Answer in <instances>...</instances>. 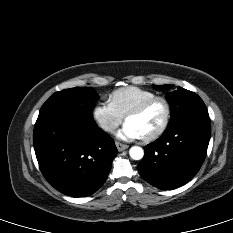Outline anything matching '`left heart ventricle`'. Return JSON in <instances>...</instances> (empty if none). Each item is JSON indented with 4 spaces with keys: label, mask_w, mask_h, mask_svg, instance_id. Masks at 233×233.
I'll return each instance as SVG.
<instances>
[{
    "label": "left heart ventricle",
    "mask_w": 233,
    "mask_h": 233,
    "mask_svg": "<svg viewBox=\"0 0 233 233\" xmlns=\"http://www.w3.org/2000/svg\"><path fill=\"white\" fill-rule=\"evenodd\" d=\"M165 117V107L160 101L152 104L142 114L130 117L126 123L133 125L142 137L155 132L163 123Z\"/></svg>",
    "instance_id": "1"
}]
</instances>
